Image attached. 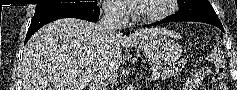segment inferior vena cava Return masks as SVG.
Listing matches in <instances>:
<instances>
[{"mask_svg":"<svg viewBox=\"0 0 237 90\" xmlns=\"http://www.w3.org/2000/svg\"><path fill=\"white\" fill-rule=\"evenodd\" d=\"M103 16L98 24L101 32V38H109L116 36L117 30H121L123 20L125 18V6L123 4H105L102 6ZM112 70L107 68V62H97L90 68L91 82H89L88 90H108L107 78H109Z\"/></svg>","mask_w":237,"mask_h":90,"instance_id":"602c4592","label":"inferior vena cava"}]
</instances>
